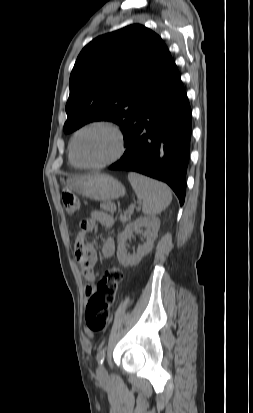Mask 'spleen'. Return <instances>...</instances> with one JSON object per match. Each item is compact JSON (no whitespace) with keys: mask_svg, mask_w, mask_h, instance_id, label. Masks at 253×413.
I'll use <instances>...</instances> for the list:
<instances>
[{"mask_svg":"<svg viewBox=\"0 0 253 413\" xmlns=\"http://www.w3.org/2000/svg\"><path fill=\"white\" fill-rule=\"evenodd\" d=\"M128 180L137 197L142 200V212L149 216L161 213L172 201L168 186L141 174L130 172Z\"/></svg>","mask_w":253,"mask_h":413,"instance_id":"3e777b00","label":"spleen"}]
</instances>
